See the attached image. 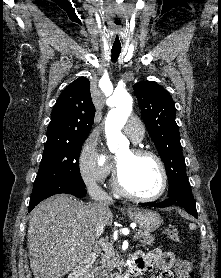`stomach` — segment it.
<instances>
[{"instance_id": "1", "label": "stomach", "mask_w": 221, "mask_h": 278, "mask_svg": "<svg viewBox=\"0 0 221 278\" xmlns=\"http://www.w3.org/2000/svg\"><path fill=\"white\" fill-rule=\"evenodd\" d=\"M127 215L146 232L155 231L162 223L161 216L157 212L147 209L128 208Z\"/></svg>"}]
</instances>
